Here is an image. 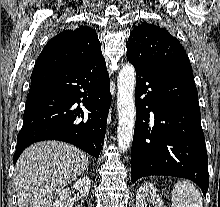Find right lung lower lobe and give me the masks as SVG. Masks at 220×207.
<instances>
[{"instance_id": "1", "label": "right lung lower lobe", "mask_w": 220, "mask_h": 207, "mask_svg": "<svg viewBox=\"0 0 220 207\" xmlns=\"http://www.w3.org/2000/svg\"><path fill=\"white\" fill-rule=\"evenodd\" d=\"M111 98L103 55L74 68L33 69L13 162L43 140L68 142L98 158Z\"/></svg>"}]
</instances>
